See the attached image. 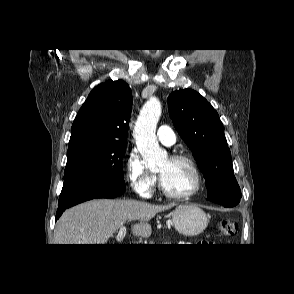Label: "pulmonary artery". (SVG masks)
I'll return each mask as SVG.
<instances>
[{"mask_svg": "<svg viewBox=\"0 0 294 294\" xmlns=\"http://www.w3.org/2000/svg\"><path fill=\"white\" fill-rule=\"evenodd\" d=\"M158 140L166 145L172 146L175 143V135L168 125H161L157 130Z\"/></svg>", "mask_w": 294, "mask_h": 294, "instance_id": "pulmonary-artery-1", "label": "pulmonary artery"}]
</instances>
